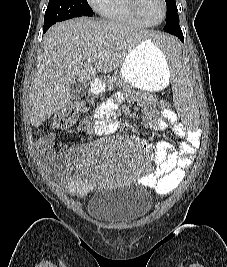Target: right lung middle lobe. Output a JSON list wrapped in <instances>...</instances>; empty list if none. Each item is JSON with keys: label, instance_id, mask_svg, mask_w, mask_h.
I'll return each instance as SVG.
<instances>
[{"label": "right lung middle lobe", "instance_id": "1", "mask_svg": "<svg viewBox=\"0 0 227 267\" xmlns=\"http://www.w3.org/2000/svg\"><path fill=\"white\" fill-rule=\"evenodd\" d=\"M83 15L93 16L87 0H49L44 23L59 22Z\"/></svg>", "mask_w": 227, "mask_h": 267}]
</instances>
